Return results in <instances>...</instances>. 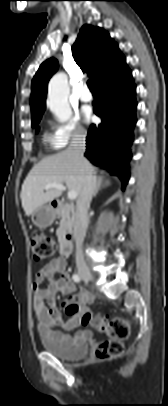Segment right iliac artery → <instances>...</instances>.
Here are the masks:
<instances>
[{"mask_svg":"<svg viewBox=\"0 0 168 406\" xmlns=\"http://www.w3.org/2000/svg\"><path fill=\"white\" fill-rule=\"evenodd\" d=\"M72 278L75 282H80V277L77 274H74Z\"/></svg>","mask_w":168,"mask_h":406,"instance_id":"1","label":"right iliac artery"}]
</instances>
